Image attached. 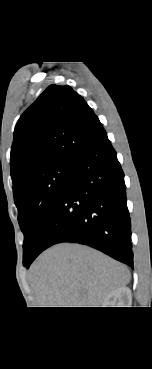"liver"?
<instances>
[{
  "mask_svg": "<svg viewBox=\"0 0 152 369\" xmlns=\"http://www.w3.org/2000/svg\"><path fill=\"white\" fill-rule=\"evenodd\" d=\"M30 281L40 307H99L113 290L126 286V266L78 244H58L39 256Z\"/></svg>",
  "mask_w": 152,
  "mask_h": 369,
  "instance_id": "liver-1",
  "label": "liver"
}]
</instances>
